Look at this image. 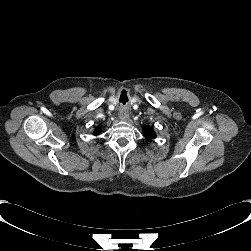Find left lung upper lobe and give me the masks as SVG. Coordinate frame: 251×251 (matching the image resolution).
Wrapping results in <instances>:
<instances>
[{"mask_svg":"<svg viewBox=\"0 0 251 251\" xmlns=\"http://www.w3.org/2000/svg\"><path fill=\"white\" fill-rule=\"evenodd\" d=\"M143 132L147 140H150L156 136L152 127H144Z\"/></svg>","mask_w":251,"mask_h":251,"instance_id":"1","label":"left lung upper lobe"}]
</instances>
